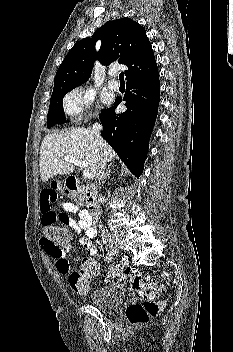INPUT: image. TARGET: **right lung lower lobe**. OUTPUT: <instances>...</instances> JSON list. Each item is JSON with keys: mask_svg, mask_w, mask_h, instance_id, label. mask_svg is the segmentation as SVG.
I'll return each mask as SVG.
<instances>
[{"mask_svg": "<svg viewBox=\"0 0 233 352\" xmlns=\"http://www.w3.org/2000/svg\"><path fill=\"white\" fill-rule=\"evenodd\" d=\"M159 99L160 83L156 68L147 75L127 81L123 98L127 107L125 112L115 113V107L122 101L118 97L114 107L100 114L102 137L136 177L142 174L144 168Z\"/></svg>", "mask_w": 233, "mask_h": 352, "instance_id": "right-lung-lower-lobe-1", "label": "right lung lower lobe"}]
</instances>
